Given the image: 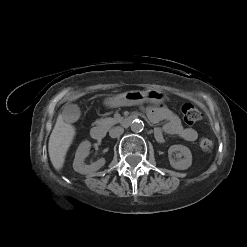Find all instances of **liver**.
<instances>
[{"instance_id": "6515ba94", "label": "liver", "mask_w": 247, "mask_h": 247, "mask_svg": "<svg viewBox=\"0 0 247 247\" xmlns=\"http://www.w3.org/2000/svg\"><path fill=\"white\" fill-rule=\"evenodd\" d=\"M75 127L64 122L60 114L49 138L48 152L53 167L60 170L65 162L69 147L75 137Z\"/></svg>"}]
</instances>
